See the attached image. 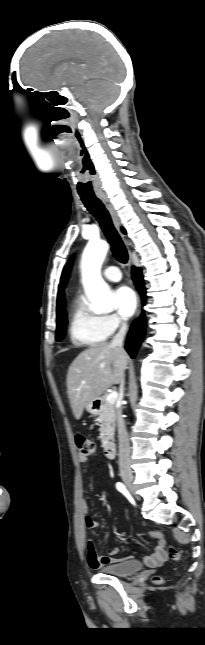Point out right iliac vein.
<instances>
[{
	"mask_svg": "<svg viewBox=\"0 0 205 645\" xmlns=\"http://www.w3.org/2000/svg\"><path fill=\"white\" fill-rule=\"evenodd\" d=\"M122 480L124 481L125 484L129 486V488L134 491L133 487V475L131 473H123L122 474Z\"/></svg>",
	"mask_w": 205,
	"mask_h": 645,
	"instance_id": "obj_1",
	"label": "right iliac vein"
}]
</instances>
